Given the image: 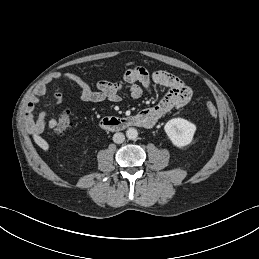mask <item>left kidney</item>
Wrapping results in <instances>:
<instances>
[{"label": "left kidney", "mask_w": 259, "mask_h": 259, "mask_svg": "<svg viewBox=\"0 0 259 259\" xmlns=\"http://www.w3.org/2000/svg\"><path fill=\"white\" fill-rule=\"evenodd\" d=\"M164 130L172 144L182 148L192 142L196 125L183 118H174L165 124Z\"/></svg>", "instance_id": "obj_1"}]
</instances>
